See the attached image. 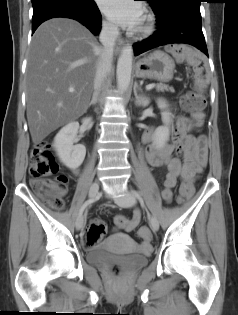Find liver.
Masks as SVG:
<instances>
[{
	"mask_svg": "<svg viewBox=\"0 0 238 315\" xmlns=\"http://www.w3.org/2000/svg\"><path fill=\"white\" fill-rule=\"evenodd\" d=\"M100 51L92 33L72 19L53 18L38 27L26 71L27 120L34 144L87 111Z\"/></svg>",
	"mask_w": 238,
	"mask_h": 315,
	"instance_id": "liver-1",
	"label": "liver"
}]
</instances>
